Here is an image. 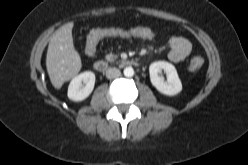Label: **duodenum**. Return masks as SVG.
<instances>
[{
    "label": "duodenum",
    "instance_id": "duodenum-1",
    "mask_svg": "<svg viewBox=\"0 0 248 165\" xmlns=\"http://www.w3.org/2000/svg\"><path fill=\"white\" fill-rule=\"evenodd\" d=\"M122 64L125 66H132V67L138 66V62L136 60H126L122 62ZM108 66L109 64L105 60H97L94 63V69L99 73H104L108 69Z\"/></svg>",
    "mask_w": 248,
    "mask_h": 165
}]
</instances>
